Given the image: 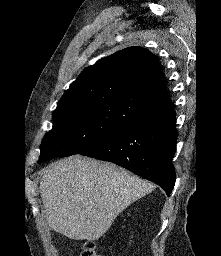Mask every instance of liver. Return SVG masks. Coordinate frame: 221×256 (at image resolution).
Wrapping results in <instances>:
<instances>
[{
	"label": "liver",
	"instance_id": "liver-1",
	"mask_svg": "<svg viewBox=\"0 0 221 256\" xmlns=\"http://www.w3.org/2000/svg\"><path fill=\"white\" fill-rule=\"evenodd\" d=\"M154 186L113 163L71 156L43 173L40 193L46 219L56 232L95 241L114 219Z\"/></svg>",
	"mask_w": 221,
	"mask_h": 256
}]
</instances>
